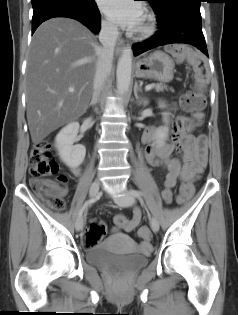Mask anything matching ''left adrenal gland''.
Returning a JSON list of instances; mask_svg holds the SVG:
<instances>
[{
    "label": "left adrenal gland",
    "instance_id": "a2214340",
    "mask_svg": "<svg viewBox=\"0 0 238 315\" xmlns=\"http://www.w3.org/2000/svg\"><path fill=\"white\" fill-rule=\"evenodd\" d=\"M138 91H142L141 87L138 85V82H135V85H134V95L136 98H138V94L137 92Z\"/></svg>",
    "mask_w": 238,
    "mask_h": 315
}]
</instances>
